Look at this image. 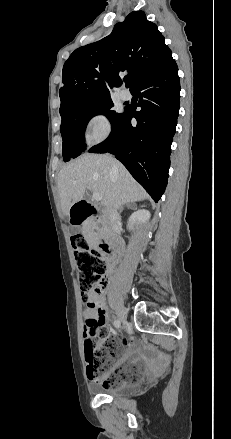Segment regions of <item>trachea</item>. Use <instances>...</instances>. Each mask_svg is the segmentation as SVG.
<instances>
[{
	"label": "trachea",
	"instance_id": "obj_1",
	"mask_svg": "<svg viewBox=\"0 0 231 439\" xmlns=\"http://www.w3.org/2000/svg\"><path fill=\"white\" fill-rule=\"evenodd\" d=\"M129 80V78H125V81L127 82Z\"/></svg>",
	"mask_w": 231,
	"mask_h": 439
}]
</instances>
